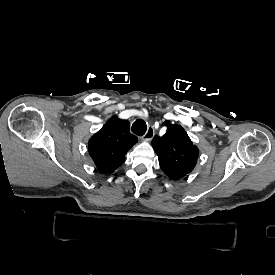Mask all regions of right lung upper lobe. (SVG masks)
Masks as SVG:
<instances>
[{
	"mask_svg": "<svg viewBox=\"0 0 275 275\" xmlns=\"http://www.w3.org/2000/svg\"><path fill=\"white\" fill-rule=\"evenodd\" d=\"M138 141L130 133V123L114 116L89 140L88 149L96 167L111 173L121 166L127 151Z\"/></svg>",
	"mask_w": 275,
	"mask_h": 275,
	"instance_id": "cb5924a9",
	"label": "right lung upper lobe"
}]
</instances>
